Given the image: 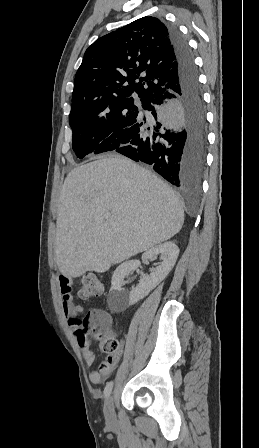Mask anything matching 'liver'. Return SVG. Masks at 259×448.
<instances>
[{
  "label": "liver",
  "mask_w": 259,
  "mask_h": 448,
  "mask_svg": "<svg viewBox=\"0 0 259 448\" xmlns=\"http://www.w3.org/2000/svg\"><path fill=\"white\" fill-rule=\"evenodd\" d=\"M56 214L54 248L65 278L107 272L112 264L170 240L184 222L174 192L124 156L74 168L62 186Z\"/></svg>",
  "instance_id": "1"
}]
</instances>
